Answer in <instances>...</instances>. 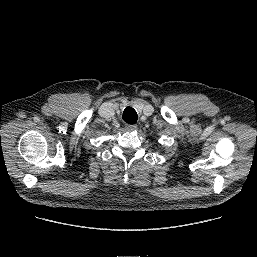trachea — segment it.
<instances>
[{
    "instance_id": "1",
    "label": "trachea",
    "mask_w": 257,
    "mask_h": 257,
    "mask_svg": "<svg viewBox=\"0 0 257 257\" xmlns=\"http://www.w3.org/2000/svg\"><path fill=\"white\" fill-rule=\"evenodd\" d=\"M123 120L128 124L137 122V113L132 107L125 108L122 116Z\"/></svg>"
}]
</instances>
